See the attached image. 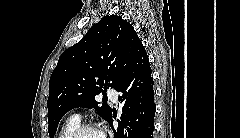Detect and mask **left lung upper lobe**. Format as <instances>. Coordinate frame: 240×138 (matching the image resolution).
<instances>
[{"label": "left lung upper lobe", "mask_w": 240, "mask_h": 138, "mask_svg": "<svg viewBox=\"0 0 240 138\" xmlns=\"http://www.w3.org/2000/svg\"><path fill=\"white\" fill-rule=\"evenodd\" d=\"M144 48L130 23L121 16H105L60 56L49 81L48 123L53 138L61 118L75 107L94 108L106 121L111 108L98 106L102 87L115 90Z\"/></svg>", "instance_id": "1"}]
</instances>
